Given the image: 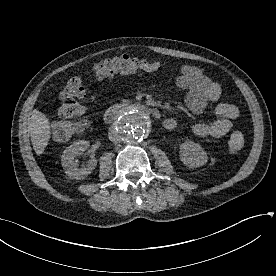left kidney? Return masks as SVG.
I'll return each instance as SVG.
<instances>
[{
    "label": "left kidney",
    "instance_id": "obj_1",
    "mask_svg": "<svg viewBox=\"0 0 276 276\" xmlns=\"http://www.w3.org/2000/svg\"><path fill=\"white\" fill-rule=\"evenodd\" d=\"M179 154L182 163L189 168L203 166L208 161L207 153L198 143L193 141L182 143Z\"/></svg>",
    "mask_w": 276,
    "mask_h": 276
}]
</instances>
